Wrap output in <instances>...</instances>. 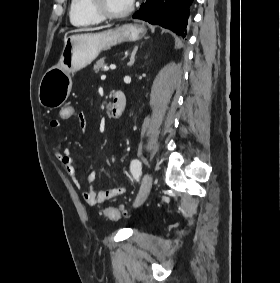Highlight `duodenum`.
<instances>
[{"label": "duodenum", "instance_id": "410a0bca", "mask_svg": "<svg viewBox=\"0 0 280 283\" xmlns=\"http://www.w3.org/2000/svg\"><path fill=\"white\" fill-rule=\"evenodd\" d=\"M126 107L125 94L116 90L112 94L111 105L109 108V115L111 118H119L123 114Z\"/></svg>", "mask_w": 280, "mask_h": 283}]
</instances>
